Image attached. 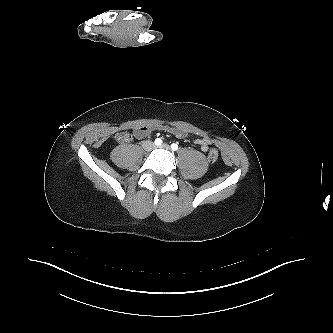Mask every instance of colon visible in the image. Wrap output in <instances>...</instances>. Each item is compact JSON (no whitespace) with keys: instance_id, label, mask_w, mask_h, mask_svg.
Returning a JSON list of instances; mask_svg holds the SVG:
<instances>
[{"instance_id":"obj_1","label":"colon","mask_w":333,"mask_h":333,"mask_svg":"<svg viewBox=\"0 0 333 333\" xmlns=\"http://www.w3.org/2000/svg\"><path fill=\"white\" fill-rule=\"evenodd\" d=\"M115 139L120 143H125L131 140V135L128 132H119L115 135ZM219 157V153L216 149H211L208 152V160L215 162Z\"/></svg>"}]
</instances>
